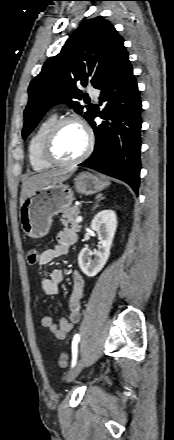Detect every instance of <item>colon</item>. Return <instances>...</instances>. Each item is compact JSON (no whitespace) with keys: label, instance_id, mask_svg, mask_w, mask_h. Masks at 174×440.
I'll return each instance as SVG.
<instances>
[{"label":"colon","instance_id":"5ec220e1","mask_svg":"<svg viewBox=\"0 0 174 440\" xmlns=\"http://www.w3.org/2000/svg\"><path fill=\"white\" fill-rule=\"evenodd\" d=\"M26 260L29 266H35L39 261V252L37 248H29L26 252ZM59 365L63 368L69 365V355L61 353L59 356Z\"/></svg>","mask_w":174,"mask_h":440}]
</instances>
